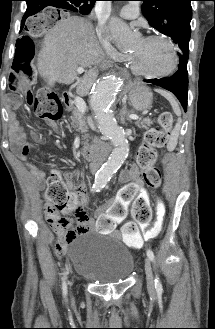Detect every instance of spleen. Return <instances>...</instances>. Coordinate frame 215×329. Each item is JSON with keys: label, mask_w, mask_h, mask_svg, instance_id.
<instances>
[{"label": "spleen", "mask_w": 215, "mask_h": 329, "mask_svg": "<svg viewBox=\"0 0 215 329\" xmlns=\"http://www.w3.org/2000/svg\"><path fill=\"white\" fill-rule=\"evenodd\" d=\"M158 93H160L162 96H164L171 104L172 106V109L174 111V113L180 117L181 116V110L179 108V105L176 101V99L174 98V96L167 92V91H164V90H156ZM181 119L178 118V121L171 133V138H170V141H169V144L167 146L168 150L169 151H173L177 145V141H178V136H179V131H180V127H181Z\"/></svg>", "instance_id": "obj_1"}]
</instances>
